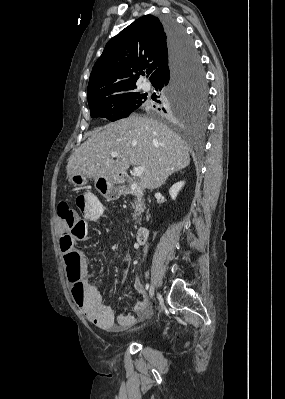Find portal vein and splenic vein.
Instances as JSON below:
<instances>
[{
  "instance_id": "obj_1",
  "label": "portal vein and splenic vein",
  "mask_w": 285,
  "mask_h": 399,
  "mask_svg": "<svg viewBox=\"0 0 285 399\" xmlns=\"http://www.w3.org/2000/svg\"><path fill=\"white\" fill-rule=\"evenodd\" d=\"M110 157L111 158H116V157H118V153L117 152H112L111 154H110ZM144 167H142V166H134V168H133V173H134V175L135 176H137V177H139V176H141L142 175V173L144 172Z\"/></svg>"
}]
</instances>
